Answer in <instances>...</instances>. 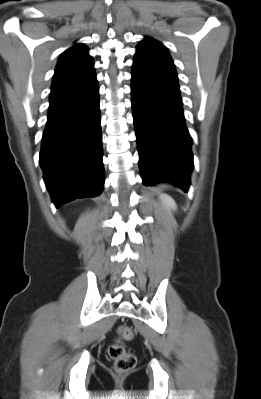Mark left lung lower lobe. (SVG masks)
<instances>
[{"mask_svg":"<svg viewBox=\"0 0 261 399\" xmlns=\"http://www.w3.org/2000/svg\"><path fill=\"white\" fill-rule=\"evenodd\" d=\"M131 80L144 184L169 181L187 191L193 168L192 140L185 126L177 74L133 64Z\"/></svg>","mask_w":261,"mask_h":399,"instance_id":"1","label":"left lung lower lobe"}]
</instances>
